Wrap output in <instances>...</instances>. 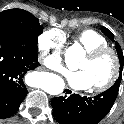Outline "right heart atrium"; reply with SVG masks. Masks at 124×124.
<instances>
[{
  "label": "right heart atrium",
  "mask_w": 124,
  "mask_h": 124,
  "mask_svg": "<svg viewBox=\"0 0 124 124\" xmlns=\"http://www.w3.org/2000/svg\"><path fill=\"white\" fill-rule=\"evenodd\" d=\"M36 47L42 64L52 70L61 69L63 41L59 32L43 31L37 38Z\"/></svg>",
  "instance_id": "1"
}]
</instances>
